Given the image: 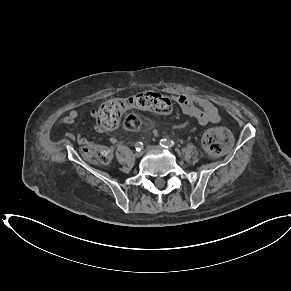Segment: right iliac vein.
I'll return each mask as SVG.
<instances>
[{
	"label": "right iliac vein",
	"mask_w": 291,
	"mask_h": 291,
	"mask_svg": "<svg viewBox=\"0 0 291 291\" xmlns=\"http://www.w3.org/2000/svg\"><path fill=\"white\" fill-rule=\"evenodd\" d=\"M141 155H142V153H141V152H136V153L134 154V156H135L136 158H139V157H141Z\"/></svg>",
	"instance_id": "1"
}]
</instances>
